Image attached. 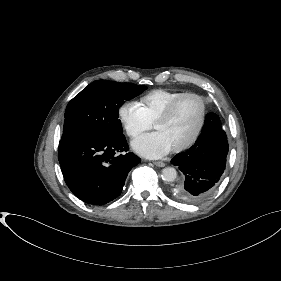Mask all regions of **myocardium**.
I'll return each instance as SVG.
<instances>
[{
  "label": "myocardium",
  "instance_id": "1",
  "mask_svg": "<svg viewBox=\"0 0 281 281\" xmlns=\"http://www.w3.org/2000/svg\"><path fill=\"white\" fill-rule=\"evenodd\" d=\"M187 98H196L201 105V113H200V119H199V123L193 133V135L191 136V138L186 141L185 143H183L180 146H177L175 148L172 149L173 152L175 153H180L183 152L187 149H189L190 147H192L195 142L197 141V139L199 138L202 129L204 127L205 124V119H206V103L204 98L196 93H184L181 96L177 97L176 99H174L173 101H171L155 118L154 122H153V127L155 128V126L157 125V123L166 120L174 111V109L177 107V105L182 102L183 100L187 99Z\"/></svg>",
  "mask_w": 281,
  "mask_h": 281
}]
</instances>
